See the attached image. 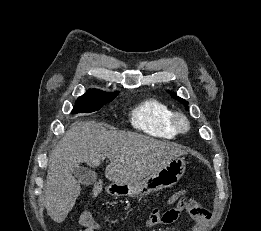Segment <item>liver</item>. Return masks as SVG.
<instances>
[{
    "label": "liver",
    "mask_w": 261,
    "mask_h": 231,
    "mask_svg": "<svg viewBox=\"0 0 261 231\" xmlns=\"http://www.w3.org/2000/svg\"><path fill=\"white\" fill-rule=\"evenodd\" d=\"M187 154L181 146L134 132L109 131L94 121L73 125L49 155L45 207L57 223L63 222L80 195L74 175L81 163L98 167L107 157L105 177L116 184L141 181L173 159Z\"/></svg>",
    "instance_id": "6515ba94"
}]
</instances>
